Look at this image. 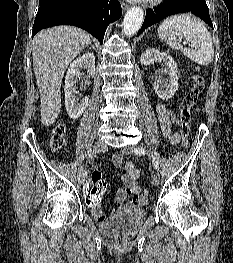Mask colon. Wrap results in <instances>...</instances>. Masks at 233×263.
Returning <instances> with one entry per match:
<instances>
[{"mask_svg": "<svg viewBox=\"0 0 233 263\" xmlns=\"http://www.w3.org/2000/svg\"><path fill=\"white\" fill-rule=\"evenodd\" d=\"M204 90V79L199 71L194 76V84L188 93L184 96L182 101V107L179 112V121L181 125V135L184 145L187 144L188 135L190 132V110L197 103L200 95ZM65 126L58 124L54 127L52 134L49 138V145L53 151H59L65 145ZM104 169H93L90 172L91 178L89 186L85 187L86 208H95L96 202L100 201L102 195L106 191V182L103 179ZM142 205L148 203V192L143 191L140 196Z\"/></svg>", "mask_w": 233, "mask_h": 263, "instance_id": "colon-1", "label": "colon"}]
</instances>
